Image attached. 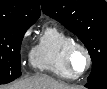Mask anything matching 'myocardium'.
<instances>
[{"label":"myocardium","mask_w":107,"mask_h":89,"mask_svg":"<svg viewBox=\"0 0 107 89\" xmlns=\"http://www.w3.org/2000/svg\"><path fill=\"white\" fill-rule=\"evenodd\" d=\"M76 50H81L84 53L85 58H86V67L80 73H76L73 70L72 63H71L73 53ZM64 62H65V66H66L67 70L71 73V75L73 77H80V76L84 75L90 69L91 64H92V58H91L89 50L87 49V47L84 44L77 42V41H72L71 43H69L67 45V47L65 49Z\"/></svg>","instance_id":"obj_1"}]
</instances>
